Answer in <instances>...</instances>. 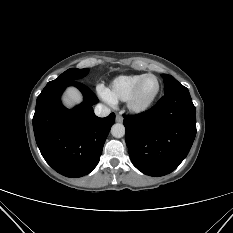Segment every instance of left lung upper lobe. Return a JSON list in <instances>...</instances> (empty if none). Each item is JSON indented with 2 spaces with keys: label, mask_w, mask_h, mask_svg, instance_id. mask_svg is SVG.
Wrapping results in <instances>:
<instances>
[{
  "label": "left lung upper lobe",
  "mask_w": 233,
  "mask_h": 233,
  "mask_svg": "<svg viewBox=\"0 0 233 233\" xmlns=\"http://www.w3.org/2000/svg\"><path fill=\"white\" fill-rule=\"evenodd\" d=\"M162 78L164 79L165 84V94L181 91L187 89L183 85H181L173 76L162 74Z\"/></svg>",
  "instance_id": "5c2ea615"
}]
</instances>
